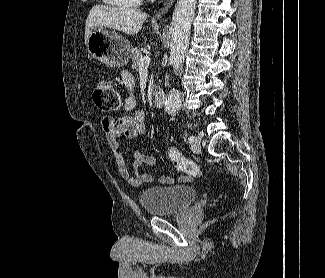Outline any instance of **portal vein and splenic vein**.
Here are the masks:
<instances>
[{
  "label": "portal vein and splenic vein",
  "instance_id": "portal-vein-and-splenic-vein-1",
  "mask_svg": "<svg viewBox=\"0 0 325 278\" xmlns=\"http://www.w3.org/2000/svg\"><path fill=\"white\" fill-rule=\"evenodd\" d=\"M149 64H150V57L146 55L141 58L139 68L148 67Z\"/></svg>",
  "mask_w": 325,
  "mask_h": 278
}]
</instances>
